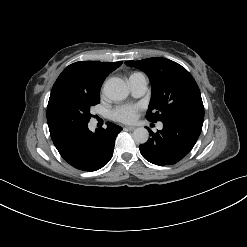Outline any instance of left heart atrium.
Masks as SVG:
<instances>
[{
    "label": "left heart atrium",
    "instance_id": "obj_1",
    "mask_svg": "<svg viewBox=\"0 0 247 247\" xmlns=\"http://www.w3.org/2000/svg\"><path fill=\"white\" fill-rule=\"evenodd\" d=\"M138 108L135 105L118 106L113 110L112 115L118 121L131 122L135 119Z\"/></svg>",
    "mask_w": 247,
    "mask_h": 247
}]
</instances>
